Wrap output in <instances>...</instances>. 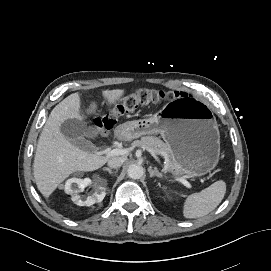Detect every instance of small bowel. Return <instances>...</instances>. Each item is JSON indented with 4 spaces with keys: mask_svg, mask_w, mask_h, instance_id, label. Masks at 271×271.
Listing matches in <instances>:
<instances>
[{
    "mask_svg": "<svg viewBox=\"0 0 271 271\" xmlns=\"http://www.w3.org/2000/svg\"><path fill=\"white\" fill-rule=\"evenodd\" d=\"M88 113H89V111H88ZM61 129L67 137H70L76 141L81 140V133H80V129L78 126L70 125L69 123L64 122L61 125Z\"/></svg>",
    "mask_w": 271,
    "mask_h": 271,
    "instance_id": "1",
    "label": "small bowel"
}]
</instances>
